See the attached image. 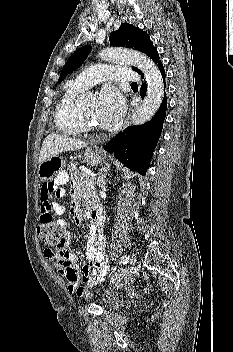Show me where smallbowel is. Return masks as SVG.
Listing matches in <instances>:
<instances>
[{"label":"small bowel","instance_id":"small-bowel-1","mask_svg":"<svg viewBox=\"0 0 233 352\" xmlns=\"http://www.w3.org/2000/svg\"><path fill=\"white\" fill-rule=\"evenodd\" d=\"M69 180L68 173L61 171L54 180L45 181L41 188V223H51L58 226L64 232V243L45 250V256L53 262L54 266L67 280V287L71 293H74L79 282L88 286H94L102 282L110 271L108 257L105 253L106 238L104 235V218L102 214L96 216L92 214L90 224V236L85 249L84 257L90 261V264L82 268L77 266L79 256L76 253L68 251L70 234L67 231V222L54 215L61 216L65 207L55 202V199L65 195L64 186ZM72 206L71 216L76 224L82 220V214L79 202L82 198H87L92 202L93 194L83 189L79 183L74 182L71 186Z\"/></svg>","mask_w":233,"mask_h":352}]
</instances>
